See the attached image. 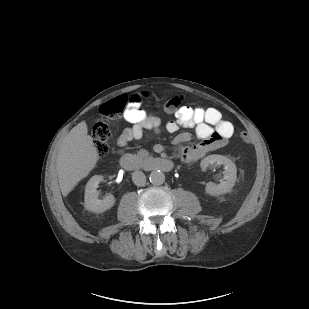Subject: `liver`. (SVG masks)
<instances>
[{"mask_svg": "<svg viewBox=\"0 0 309 309\" xmlns=\"http://www.w3.org/2000/svg\"><path fill=\"white\" fill-rule=\"evenodd\" d=\"M99 159L85 121L77 124L59 147L56 169L61 193L66 197L95 167Z\"/></svg>", "mask_w": 309, "mask_h": 309, "instance_id": "liver-1", "label": "liver"}]
</instances>
